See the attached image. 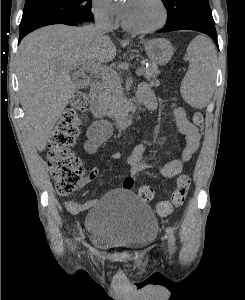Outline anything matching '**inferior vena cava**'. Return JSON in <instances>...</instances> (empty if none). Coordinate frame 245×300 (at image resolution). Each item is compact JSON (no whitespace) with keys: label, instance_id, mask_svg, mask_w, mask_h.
I'll list each match as a JSON object with an SVG mask.
<instances>
[{"label":"inferior vena cava","instance_id":"inferior-vena-cava-1","mask_svg":"<svg viewBox=\"0 0 245 300\" xmlns=\"http://www.w3.org/2000/svg\"><path fill=\"white\" fill-rule=\"evenodd\" d=\"M95 31L99 37H105V34L112 31V25L107 16H97L95 20Z\"/></svg>","mask_w":245,"mask_h":300}]
</instances>
